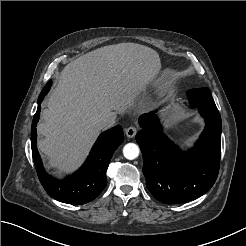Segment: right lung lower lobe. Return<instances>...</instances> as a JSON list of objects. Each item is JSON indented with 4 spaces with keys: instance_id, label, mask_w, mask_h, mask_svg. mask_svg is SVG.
Wrapping results in <instances>:
<instances>
[{
    "instance_id": "obj_1",
    "label": "right lung lower lobe",
    "mask_w": 246,
    "mask_h": 246,
    "mask_svg": "<svg viewBox=\"0 0 246 246\" xmlns=\"http://www.w3.org/2000/svg\"><path fill=\"white\" fill-rule=\"evenodd\" d=\"M48 91L44 90L40 93L39 105L31 127L32 157L38 178L52 198L75 205L88 203L94 200L107 185L106 170L113 153L124 140L122 127L117 125L103 132L93 146L84 165L72 176L64 180H57L44 170L37 150L36 125L41 111L40 104Z\"/></svg>"
}]
</instances>
